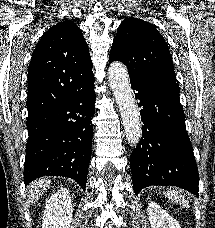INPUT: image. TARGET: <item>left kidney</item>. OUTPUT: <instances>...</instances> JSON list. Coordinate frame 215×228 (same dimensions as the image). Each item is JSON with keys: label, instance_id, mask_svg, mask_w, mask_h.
<instances>
[{"label": "left kidney", "instance_id": "1", "mask_svg": "<svg viewBox=\"0 0 215 228\" xmlns=\"http://www.w3.org/2000/svg\"><path fill=\"white\" fill-rule=\"evenodd\" d=\"M147 210L151 228H180L178 222L171 218L170 214H167L159 204L150 202Z\"/></svg>", "mask_w": 215, "mask_h": 228}]
</instances>
